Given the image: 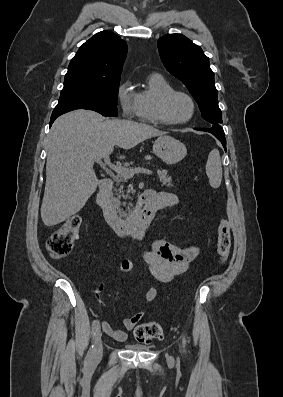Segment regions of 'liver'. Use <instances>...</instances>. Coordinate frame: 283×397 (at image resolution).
<instances>
[{
  "mask_svg": "<svg viewBox=\"0 0 283 397\" xmlns=\"http://www.w3.org/2000/svg\"><path fill=\"white\" fill-rule=\"evenodd\" d=\"M164 134L143 123L104 120L91 110L80 109L60 116L52 125L48 139L41 206L44 225H57L84 207L98 186L93 170L96 158L109 156L114 146L128 150Z\"/></svg>",
  "mask_w": 283,
  "mask_h": 397,
  "instance_id": "obj_1",
  "label": "liver"
}]
</instances>
